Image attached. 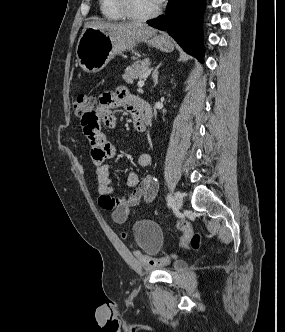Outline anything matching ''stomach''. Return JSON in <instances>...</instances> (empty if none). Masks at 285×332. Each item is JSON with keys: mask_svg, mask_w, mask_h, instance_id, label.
<instances>
[{"mask_svg": "<svg viewBox=\"0 0 285 332\" xmlns=\"http://www.w3.org/2000/svg\"><path fill=\"white\" fill-rule=\"evenodd\" d=\"M148 45L170 52L174 46L163 35L153 36L146 41ZM135 41L110 35L102 29L89 27L83 30L76 47V56L80 67L87 73L101 71L113 57L123 51L132 49Z\"/></svg>", "mask_w": 285, "mask_h": 332, "instance_id": "stomach-1", "label": "stomach"}]
</instances>
